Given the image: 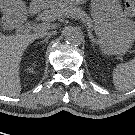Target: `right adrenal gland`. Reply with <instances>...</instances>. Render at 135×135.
<instances>
[{
	"mask_svg": "<svg viewBox=\"0 0 135 135\" xmlns=\"http://www.w3.org/2000/svg\"><path fill=\"white\" fill-rule=\"evenodd\" d=\"M49 38H50V37L45 38V39H44V40H42L40 43H44V42H46V43H47V42H48V40H49Z\"/></svg>",
	"mask_w": 135,
	"mask_h": 135,
	"instance_id": "obj_1",
	"label": "right adrenal gland"
}]
</instances>
